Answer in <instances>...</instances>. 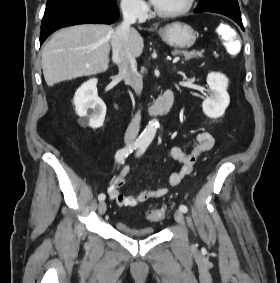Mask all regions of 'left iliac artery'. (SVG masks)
Listing matches in <instances>:
<instances>
[{
	"label": "left iliac artery",
	"mask_w": 280,
	"mask_h": 283,
	"mask_svg": "<svg viewBox=\"0 0 280 283\" xmlns=\"http://www.w3.org/2000/svg\"><path fill=\"white\" fill-rule=\"evenodd\" d=\"M147 146H148V144H142L139 148H138V151H137V156H140V155H142L144 152H145V150H146V148H147ZM179 210L181 211V212H183V213H186L187 211H188V208L186 207V205H180L179 206Z\"/></svg>",
	"instance_id": "left-iliac-artery-1"
}]
</instances>
